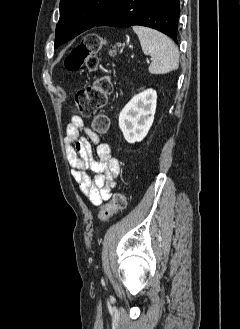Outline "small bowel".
<instances>
[{"label":"small bowel","instance_id":"small-bowel-1","mask_svg":"<svg viewBox=\"0 0 240 329\" xmlns=\"http://www.w3.org/2000/svg\"><path fill=\"white\" fill-rule=\"evenodd\" d=\"M84 131L86 137H81ZM91 143L96 145L98 160L92 157ZM65 145L68 161L72 167V176L80 191L99 206L111 198L119 175V163L111 153L110 147L103 143L100 136L85 126L82 118L73 116L67 125ZM94 173L90 176L88 172Z\"/></svg>","mask_w":240,"mask_h":329}]
</instances>
